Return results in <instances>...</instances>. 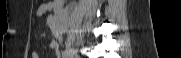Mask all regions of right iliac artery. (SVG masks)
<instances>
[{"instance_id": "1", "label": "right iliac artery", "mask_w": 181, "mask_h": 58, "mask_svg": "<svg viewBox=\"0 0 181 58\" xmlns=\"http://www.w3.org/2000/svg\"><path fill=\"white\" fill-rule=\"evenodd\" d=\"M62 58H68L66 51H63V52H62Z\"/></svg>"}]
</instances>
